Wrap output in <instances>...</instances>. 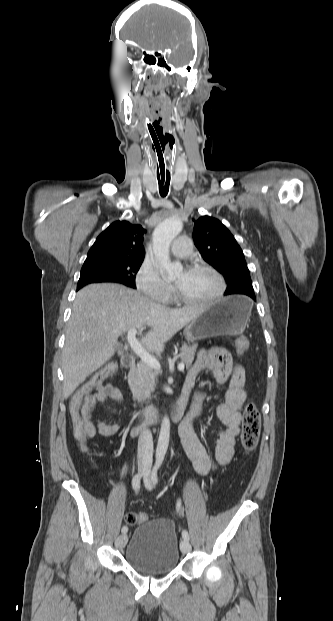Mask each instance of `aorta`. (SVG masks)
I'll return each instance as SVG.
<instances>
[{"instance_id": "762f6f07", "label": "aorta", "mask_w": 333, "mask_h": 621, "mask_svg": "<svg viewBox=\"0 0 333 621\" xmlns=\"http://www.w3.org/2000/svg\"><path fill=\"white\" fill-rule=\"evenodd\" d=\"M182 222L177 217H170L162 221L153 232V251L160 264L162 272L174 278L179 275L183 266L179 262L172 263L169 257V247L172 240L181 232ZM170 436V420L168 416H164L156 449L158 457H164L169 444Z\"/></svg>"}]
</instances>
